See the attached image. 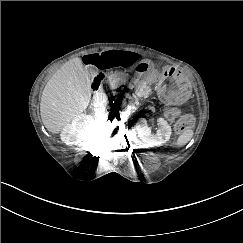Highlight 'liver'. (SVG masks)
<instances>
[{
    "mask_svg": "<svg viewBox=\"0 0 243 243\" xmlns=\"http://www.w3.org/2000/svg\"><path fill=\"white\" fill-rule=\"evenodd\" d=\"M90 77L80 57L59 68L46 83L40 101L45 128L60 134L75 117L84 112L91 100Z\"/></svg>",
    "mask_w": 243,
    "mask_h": 243,
    "instance_id": "1",
    "label": "liver"
}]
</instances>
